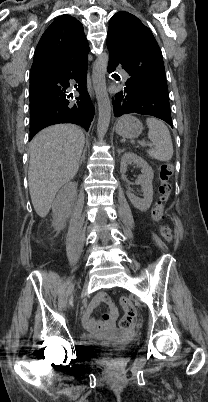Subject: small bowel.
Returning a JSON list of instances; mask_svg holds the SVG:
<instances>
[{
    "mask_svg": "<svg viewBox=\"0 0 208 402\" xmlns=\"http://www.w3.org/2000/svg\"><path fill=\"white\" fill-rule=\"evenodd\" d=\"M95 298L91 304V307L98 305L100 302H105L109 305L108 313L104 314L101 322L99 324L100 329L102 330H110L112 328V324L115 322V318L117 316L116 309L109 303V295L107 292H97ZM108 300V301H107ZM84 317L87 321H84L82 327L84 330H92L94 327V322L96 318L93 316L94 312L92 309H85L83 312Z\"/></svg>",
    "mask_w": 208,
    "mask_h": 402,
    "instance_id": "obj_1",
    "label": "small bowel"
}]
</instances>
